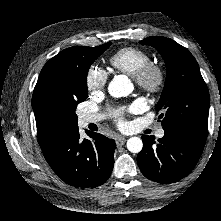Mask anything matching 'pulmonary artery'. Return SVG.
<instances>
[{
  "mask_svg": "<svg viewBox=\"0 0 221 221\" xmlns=\"http://www.w3.org/2000/svg\"><path fill=\"white\" fill-rule=\"evenodd\" d=\"M105 118H106L105 114H83L80 117V123H81V125L86 126L90 123L99 122V121H101ZM155 135H156L157 138L160 139V138L164 137L165 132H164L163 129H159V130H157Z\"/></svg>",
  "mask_w": 221,
  "mask_h": 221,
  "instance_id": "e3ab8cb5",
  "label": "pulmonary artery"
}]
</instances>
